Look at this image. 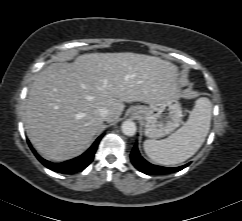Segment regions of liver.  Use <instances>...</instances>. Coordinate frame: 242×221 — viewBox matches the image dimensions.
I'll return each instance as SVG.
<instances>
[{
    "label": "liver",
    "mask_w": 242,
    "mask_h": 221,
    "mask_svg": "<svg viewBox=\"0 0 242 221\" xmlns=\"http://www.w3.org/2000/svg\"><path fill=\"white\" fill-rule=\"evenodd\" d=\"M178 76L173 63L131 52L87 53L73 63H52L29 89L27 136L43 158L70 160L89 147L104 121L118 120L125 102L179 98ZM101 108L109 110L107 120L99 116Z\"/></svg>",
    "instance_id": "obj_1"
}]
</instances>
